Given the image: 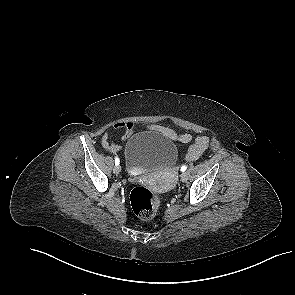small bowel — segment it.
<instances>
[{
	"label": "small bowel",
	"instance_id": "1",
	"mask_svg": "<svg viewBox=\"0 0 295 295\" xmlns=\"http://www.w3.org/2000/svg\"><path fill=\"white\" fill-rule=\"evenodd\" d=\"M137 123L135 122H124L118 121L114 124V128L117 131L122 132L123 139L126 140L130 136L133 135L137 128ZM149 129L158 131L162 133L164 136L168 137L171 140L178 141L181 143H189L192 141L193 136L191 133H183L178 134L175 130L169 127H165L158 124H149L147 126ZM101 145L102 147L112 153L117 154L121 151V146L112 142L109 138V133L106 131L103 133L101 137ZM209 145V138L205 135L197 136L194 140V143L189 147L188 152L185 156V160L188 162H192L200 158V156L206 151Z\"/></svg>",
	"mask_w": 295,
	"mask_h": 295
}]
</instances>
